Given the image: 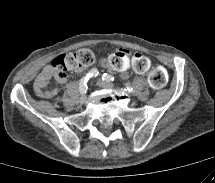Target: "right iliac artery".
I'll use <instances>...</instances> for the list:
<instances>
[{
    "label": "right iliac artery",
    "mask_w": 215,
    "mask_h": 183,
    "mask_svg": "<svg viewBox=\"0 0 215 183\" xmlns=\"http://www.w3.org/2000/svg\"><path fill=\"white\" fill-rule=\"evenodd\" d=\"M99 74L98 70L93 68L91 69L81 80L79 83V90L81 94H84L87 92V82L90 78L96 77Z\"/></svg>",
    "instance_id": "1"
}]
</instances>
